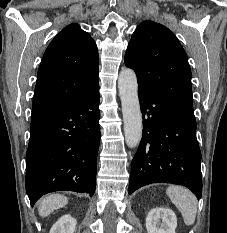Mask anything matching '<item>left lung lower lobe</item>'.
I'll list each match as a JSON object with an SVG mask.
<instances>
[{"label": "left lung lower lobe", "mask_w": 227, "mask_h": 233, "mask_svg": "<svg viewBox=\"0 0 227 233\" xmlns=\"http://www.w3.org/2000/svg\"><path fill=\"white\" fill-rule=\"evenodd\" d=\"M143 136L131 164L128 193L156 182L202 195L201 152L193 110L138 88Z\"/></svg>", "instance_id": "1"}]
</instances>
